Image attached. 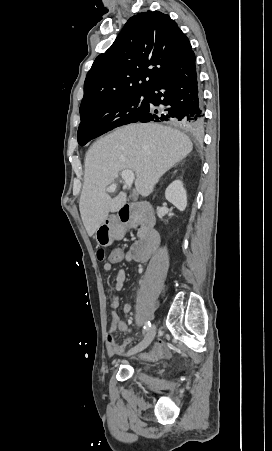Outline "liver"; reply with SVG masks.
I'll use <instances>...</instances> for the list:
<instances>
[{
    "label": "liver",
    "mask_w": 272,
    "mask_h": 451,
    "mask_svg": "<svg viewBox=\"0 0 272 451\" xmlns=\"http://www.w3.org/2000/svg\"><path fill=\"white\" fill-rule=\"evenodd\" d=\"M186 134L161 124H129L94 142L85 158L84 184L79 210L88 235L126 204L125 192L110 198L107 186L122 170L136 174L135 188L149 196L161 176L192 152Z\"/></svg>",
    "instance_id": "liver-1"
}]
</instances>
